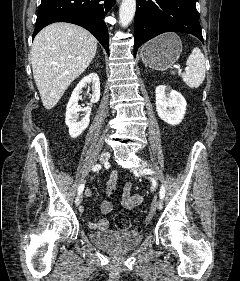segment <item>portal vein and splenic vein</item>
<instances>
[{
    "mask_svg": "<svg viewBox=\"0 0 240 281\" xmlns=\"http://www.w3.org/2000/svg\"><path fill=\"white\" fill-rule=\"evenodd\" d=\"M177 70L181 71V68L179 66H174ZM185 70H188V68H186Z\"/></svg>",
    "mask_w": 240,
    "mask_h": 281,
    "instance_id": "1",
    "label": "portal vein and splenic vein"
}]
</instances>
